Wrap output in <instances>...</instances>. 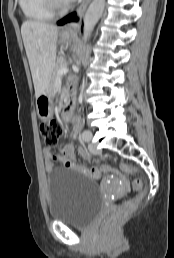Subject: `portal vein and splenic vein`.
<instances>
[{
	"label": "portal vein and splenic vein",
	"instance_id": "obj_1",
	"mask_svg": "<svg viewBox=\"0 0 174 258\" xmlns=\"http://www.w3.org/2000/svg\"><path fill=\"white\" fill-rule=\"evenodd\" d=\"M68 71H69V70H68L67 67H63V68H61V69L58 71L57 74H58V76H60V75L66 74Z\"/></svg>",
	"mask_w": 174,
	"mask_h": 258
}]
</instances>
